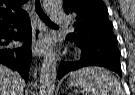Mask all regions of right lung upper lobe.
<instances>
[{
    "label": "right lung upper lobe",
    "instance_id": "obj_1",
    "mask_svg": "<svg viewBox=\"0 0 135 95\" xmlns=\"http://www.w3.org/2000/svg\"><path fill=\"white\" fill-rule=\"evenodd\" d=\"M27 0H0V26L20 24L28 15L21 9Z\"/></svg>",
    "mask_w": 135,
    "mask_h": 95
}]
</instances>
